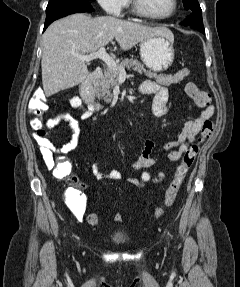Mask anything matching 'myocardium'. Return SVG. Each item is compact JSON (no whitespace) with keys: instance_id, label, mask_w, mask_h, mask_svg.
Instances as JSON below:
<instances>
[{"instance_id":"1","label":"myocardium","mask_w":240,"mask_h":287,"mask_svg":"<svg viewBox=\"0 0 240 287\" xmlns=\"http://www.w3.org/2000/svg\"><path fill=\"white\" fill-rule=\"evenodd\" d=\"M132 2H133V6H134L135 11L139 15H141L147 19L154 20V21L168 20V19L172 18L178 10V0H172L171 10L165 15H154V14H152L150 11H148L143 6L142 0H132Z\"/></svg>"}]
</instances>
